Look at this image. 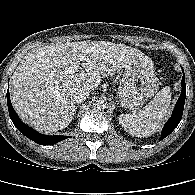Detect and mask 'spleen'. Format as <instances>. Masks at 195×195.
I'll return each instance as SVG.
<instances>
[{
	"mask_svg": "<svg viewBox=\"0 0 195 195\" xmlns=\"http://www.w3.org/2000/svg\"><path fill=\"white\" fill-rule=\"evenodd\" d=\"M170 103L171 89L164 87L142 110L133 114H121L119 124L132 136H151L166 119Z\"/></svg>",
	"mask_w": 195,
	"mask_h": 195,
	"instance_id": "1",
	"label": "spleen"
}]
</instances>
